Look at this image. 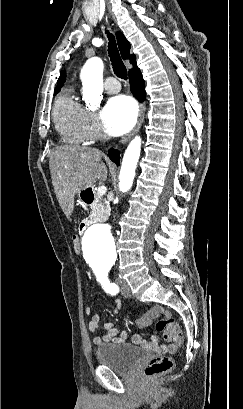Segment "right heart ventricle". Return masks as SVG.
I'll return each mask as SVG.
<instances>
[{"label":"right heart ventricle","mask_w":243,"mask_h":409,"mask_svg":"<svg viewBox=\"0 0 243 409\" xmlns=\"http://www.w3.org/2000/svg\"><path fill=\"white\" fill-rule=\"evenodd\" d=\"M83 107L75 99L71 89L61 93L53 108L55 127L62 139L70 144H80L85 141L82 129Z\"/></svg>","instance_id":"e07e8e85"}]
</instances>
